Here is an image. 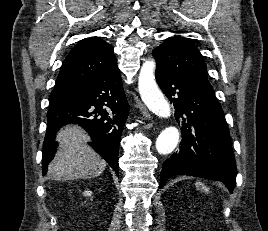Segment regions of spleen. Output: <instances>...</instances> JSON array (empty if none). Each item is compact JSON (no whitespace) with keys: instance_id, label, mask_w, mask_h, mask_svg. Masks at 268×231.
Returning <instances> with one entry per match:
<instances>
[{"instance_id":"spleen-1","label":"spleen","mask_w":268,"mask_h":231,"mask_svg":"<svg viewBox=\"0 0 268 231\" xmlns=\"http://www.w3.org/2000/svg\"><path fill=\"white\" fill-rule=\"evenodd\" d=\"M196 186L201 187V189L205 192L209 191V188H207V186H205L202 182H196Z\"/></svg>"}]
</instances>
